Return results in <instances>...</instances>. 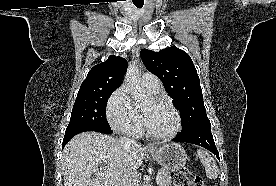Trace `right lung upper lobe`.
<instances>
[{
    "label": "right lung upper lobe",
    "mask_w": 276,
    "mask_h": 186,
    "mask_svg": "<svg viewBox=\"0 0 276 186\" xmlns=\"http://www.w3.org/2000/svg\"><path fill=\"white\" fill-rule=\"evenodd\" d=\"M127 69L124 58L109 56L107 61L95 65L82 82L80 90L86 89H117ZM79 90V91H80Z\"/></svg>",
    "instance_id": "right-lung-upper-lobe-1"
}]
</instances>
